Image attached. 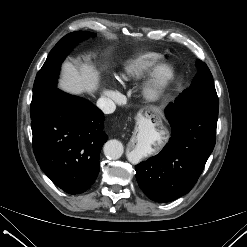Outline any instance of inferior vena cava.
I'll return each instance as SVG.
<instances>
[{
	"label": "inferior vena cava",
	"instance_id": "obj_1",
	"mask_svg": "<svg viewBox=\"0 0 247 247\" xmlns=\"http://www.w3.org/2000/svg\"><path fill=\"white\" fill-rule=\"evenodd\" d=\"M97 107L100 110H102L104 114H111L116 109L115 103L110 98H106V97H102L98 99Z\"/></svg>",
	"mask_w": 247,
	"mask_h": 247
}]
</instances>
